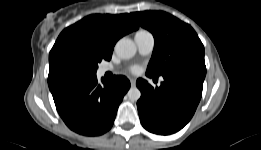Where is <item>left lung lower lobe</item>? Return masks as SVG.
<instances>
[{
    "instance_id": "left-lung-lower-lobe-1",
    "label": "left lung lower lobe",
    "mask_w": 261,
    "mask_h": 150,
    "mask_svg": "<svg viewBox=\"0 0 261 150\" xmlns=\"http://www.w3.org/2000/svg\"><path fill=\"white\" fill-rule=\"evenodd\" d=\"M205 75L204 68L184 65L162 75L164 82L160 87L153 88L147 81L138 79L136 85L141 98L137 108L143 127L160 135L182 129L192 118L201 99Z\"/></svg>"
}]
</instances>
